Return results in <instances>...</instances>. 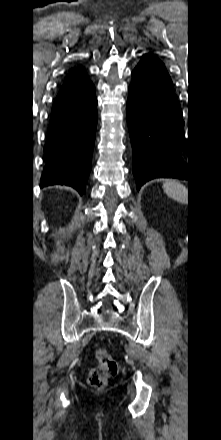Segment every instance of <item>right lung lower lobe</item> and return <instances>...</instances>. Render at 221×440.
<instances>
[{
  "label": "right lung lower lobe",
  "instance_id": "1",
  "mask_svg": "<svg viewBox=\"0 0 221 440\" xmlns=\"http://www.w3.org/2000/svg\"><path fill=\"white\" fill-rule=\"evenodd\" d=\"M96 107L95 87L88 78L61 87L52 107L41 187L67 185L84 193L91 170Z\"/></svg>",
  "mask_w": 221,
  "mask_h": 440
}]
</instances>
